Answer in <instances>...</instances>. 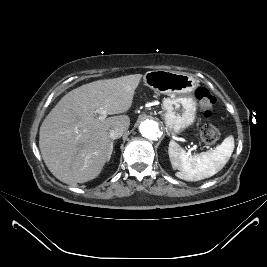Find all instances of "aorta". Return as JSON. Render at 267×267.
I'll return each mask as SVG.
<instances>
[{"label":"aorta","instance_id":"obj_1","mask_svg":"<svg viewBox=\"0 0 267 267\" xmlns=\"http://www.w3.org/2000/svg\"><path fill=\"white\" fill-rule=\"evenodd\" d=\"M139 129L142 136L150 140H156L160 133L158 123L152 119L142 121Z\"/></svg>","mask_w":267,"mask_h":267}]
</instances>
